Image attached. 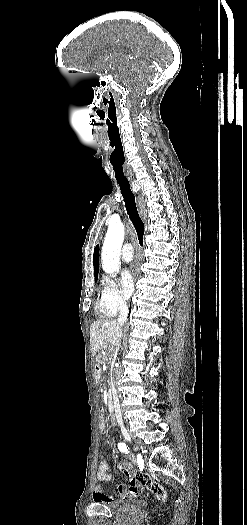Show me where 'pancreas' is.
I'll list each match as a JSON object with an SVG mask.
<instances>
[{
  "instance_id": "obj_1",
  "label": "pancreas",
  "mask_w": 247,
  "mask_h": 525,
  "mask_svg": "<svg viewBox=\"0 0 247 525\" xmlns=\"http://www.w3.org/2000/svg\"><path fill=\"white\" fill-rule=\"evenodd\" d=\"M95 358H97L98 364H102L101 355H95Z\"/></svg>"
}]
</instances>
